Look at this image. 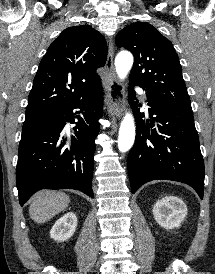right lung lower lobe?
I'll use <instances>...</instances> for the list:
<instances>
[{"instance_id": "obj_1", "label": "right lung lower lobe", "mask_w": 215, "mask_h": 274, "mask_svg": "<svg viewBox=\"0 0 215 274\" xmlns=\"http://www.w3.org/2000/svg\"><path fill=\"white\" fill-rule=\"evenodd\" d=\"M101 82L86 96L56 110L48 120L22 133L16 168L20 205L40 189H75L94 197L95 138L102 116ZM78 108L75 114L73 109ZM74 118H78L75 122ZM76 124L67 135L66 123Z\"/></svg>"}]
</instances>
